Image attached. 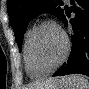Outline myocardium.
Wrapping results in <instances>:
<instances>
[{
	"label": "myocardium",
	"mask_w": 89,
	"mask_h": 89,
	"mask_svg": "<svg viewBox=\"0 0 89 89\" xmlns=\"http://www.w3.org/2000/svg\"><path fill=\"white\" fill-rule=\"evenodd\" d=\"M54 26L55 28H57L59 30V32L62 34L63 39H64V50H63V54L60 57V59L51 67L46 68V69H42L39 67L35 55H34V41L35 38L38 34V32L40 31L41 28H43L44 26ZM70 50V40L69 37L67 35V33L55 22L51 21V20H45L43 22H41L40 24H38L34 29L33 32L31 34L30 40H29V56H30V60L32 63V66L39 71L40 73L46 75L51 73L52 71H54L55 69H57L59 66H61L64 61L66 60L68 53Z\"/></svg>",
	"instance_id": "1"
}]
</instances>
